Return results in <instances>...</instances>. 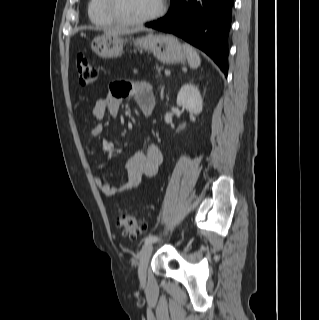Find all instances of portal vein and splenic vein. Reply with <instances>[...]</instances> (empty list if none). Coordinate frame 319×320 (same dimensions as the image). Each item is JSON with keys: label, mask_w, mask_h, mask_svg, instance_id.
Returning <instances> with one entry per match:
<instances>
[{"label": "portal vein and splenic vein", "mask_w": 319, "mask_h": 320, "mask_svg": "<svg viewBox=\"0 0 319 320\" xmlns=\"http://www.w3.org/2000/svg\"><path fill=\"white\" fill-rule=\"evenodd\" d=\"M165 75L170 76V70H165Z\"/></svg>", "instance_id": "18ae733b"}]
</instances>
